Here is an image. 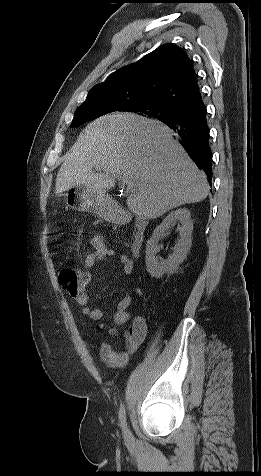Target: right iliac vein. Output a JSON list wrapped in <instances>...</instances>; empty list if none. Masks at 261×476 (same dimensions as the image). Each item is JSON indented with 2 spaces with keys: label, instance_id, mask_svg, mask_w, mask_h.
<instances>
[{
  "label": "right iliac vein",
  "instance_id": "right-iliac-vein-1",
  "mask_svg": "<svg viewBox=\"0 0 261 476\" xmlns=\"http://www.w3.org/2000/svg\"><path fill=\"white\" fill-rule=\"evenodd\" d=\"M124 434L127 437L129 436V430L127 429V427L124 428Z\"/></svg>",
  "mask_w": 261,
  "mask_h": 476
}]
</instances>
